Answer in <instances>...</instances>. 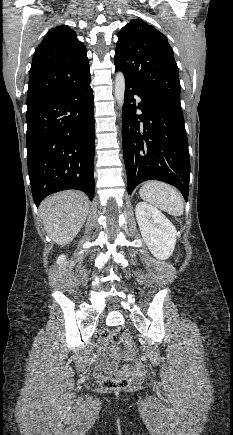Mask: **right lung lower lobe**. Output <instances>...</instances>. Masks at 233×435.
Segmentation results:
<instances>
[{"label":"right lung lower lobe","instance_id":"98d812e1","mask_svg":"<svg viewBox=\"0 0 233 435\" xmlns=\"http://www.w3.org/2000/svg\"><path fill=\"white\" fill-rule=\"evenodd\" d=\"M90 72L47 100L28 107V174L36 206L67 189L94 196L95 126Z\"/></svg>","mask_w":233,"mask_h":435}]
</instances>
